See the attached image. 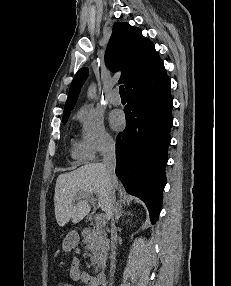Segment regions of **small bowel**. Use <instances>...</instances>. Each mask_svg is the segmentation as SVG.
<instances>
[{
	"label": "small bowel",
	"instance_id": "1",
	"mask_svg": "<svg viewBox=\"0 0 231 286\" xmlns=\"http://www.w3.org/2000/svg\"><path fill=\"white\" fill-rule=\"evenodd\" d=\"M70 278L73 281H82L85 286H96L97 282L94 277L85 273L81 269V262L78 258H73L69 270Z\"/></svg>",
	"mask_w": 231,
	"mask_h": 286
}]
</instances>
